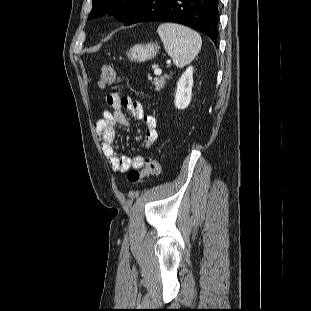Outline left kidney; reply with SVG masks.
Listing matches in <instances>:
<instances>
[{"label": "left kidney", "instance_id": "5707ae66", "mask_svg": "<svg viewBox=\"0 0 311 311\" xmlns=\"http://www.w3.org/2000/svg\"><path fill=\"white\" fill-rule=\"evenodd\" d=\"M193 86V67L190 66L182 74L177 82V88L175 93V106L178 109H185L188 107L192 96Z\"/></svg>", "mask_w": 311, "mask_h": 311}]
</instances>
